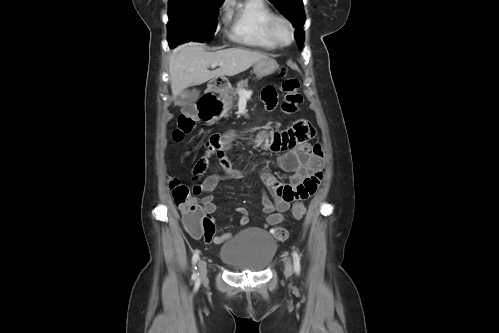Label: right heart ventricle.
I'll return each instance as SVG.
<instances>
[{
  "label": "right heart ventricle",
  "instance_id": "obj_1",
  "mask_svg": "<svg viewBox=\"0 0 499 333\" xmlns=\"http://www.w3.org/2000/svg\"><path fill=\"white\" fill-rule=\"evenodd\" d=\"M231 38L244 46L271 50L278 46L268 31L275 15L266 0H240L226 8Z\"/></svg>",
  "mask_w": 499,
  "mask_h": 333
}]
</instances>
